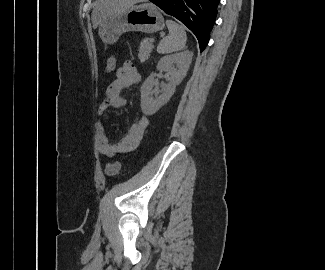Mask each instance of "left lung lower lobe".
<instances>
[{
	"label": "left lung lower lobe",
	"instance_id": "0a47b994",
	"mask_svg": "<svg viewBox=\"0 0 325 270\" xmlns=\"http://www.w3.org/2000/svg\"><path fill=\"white\" fill-rule=\"evenodd\" d=\"M184 23L197 37L200 51L209 41L219 0H149Z\"/></svg>",
	"mask_w": 325,
	"mask_h": 270
}]
</instances>
